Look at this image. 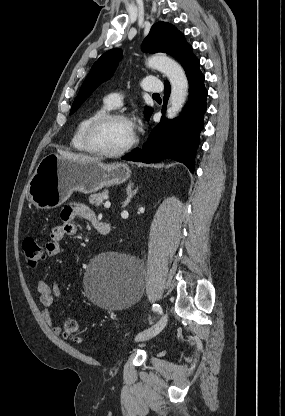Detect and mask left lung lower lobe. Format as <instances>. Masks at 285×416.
Wrapping results in <instances>:
<instances>
[{"mask_svg": "<svg viewBox=\"0 0 285 416\" xmlns=\"http://www.w3.org/2000/svg\"><path fill=\"white\" fill-rule=\"evenodd\" d=\"M200 61L195 57L185 66L189 81V100L182 114L174 119H162L151 132L142 149H135L123 156V160L156 163L166 159L176 160L194 171L196 149L200 143L199 134L204 126L203 115L206 111L207 90L204 87V75L199 69ZM164 102L170 95V84L165 81Z\"/></svg>", "mask_w": 285, "mask_h": 416, "instance_id": "0a47b994", "label": "left lung lower lobe"}]
</instances>
